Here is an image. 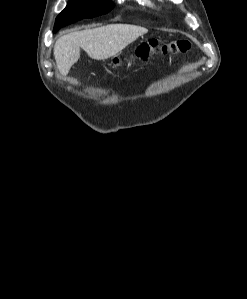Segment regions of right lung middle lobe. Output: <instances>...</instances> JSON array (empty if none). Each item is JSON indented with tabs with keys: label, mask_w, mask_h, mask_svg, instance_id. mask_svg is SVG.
<instances>
[{
	"label": "right lung middle lobe",
	"mask_w": 247,
	"mask_h": 299,
	"mask_svg": "<svg viewBox=\"0 0 247 299\" xmlns=\"http://www.w3.org/2000/svg\"><path fill=\"white\" fill-rule=\"evenodd\" d=\"M113 8L110 0H70L57 16L54 31L84 18H92L109 12Z\"/></svg>",
	"instance_id": "1"
}]
</instances>
